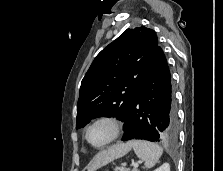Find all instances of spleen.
<instances>
[{
  "label": "spleen",
  "instance_id": "1",
  "mask_svg": "<svg viewBox=\"0 0 223 171\" xmlns=\"http://www.w3.org/2000/svg\"><path fill=\"white\" fill-rule=\"evenodd\" d=\"M130 144L138 158L144 162L146 168L155 166L163 154L162 147L149 141L133 140Z\"/></svg>",
  "mask_w": 223,
  "mask_h": 171
}]
</instances>
